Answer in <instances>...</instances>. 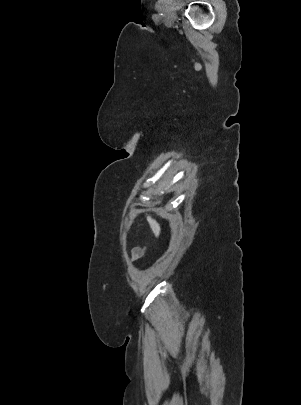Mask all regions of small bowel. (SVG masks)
<instances>
[{"instance_id":"1","label":"small bowel","mask_w":301,"mask_h":405,"mask_svg":"<svg viewBox=\"0 0 301 405\" xmlns=\"http://www.w3.org/2000/svg\"><path fill=\"white\" fill-rule=\"evenodd\" d=\"M143 248L142 247H134L131 251V259L132 261H136L141 255L143 254Z\"/></svg>"}]
</instances>
